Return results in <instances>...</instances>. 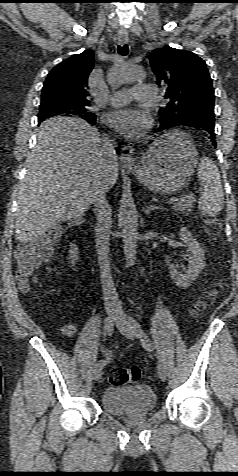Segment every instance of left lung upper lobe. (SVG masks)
<instances>
[{
	"mask_svg": "<svg viewBox=\"0 0 238 476\" xmlns=\"http://www.w3.org/2000/svg\"><path fill=\"white\" fill-rule=\"evenodd\" d=\"M157 83L167 86L166 107L159 110L161 124L209 118L214 120V90L206 63L196 54L171 47L150 54Z\"/></svg>",
	"mask_w": 238,
	"mask_h": 476,
	"instance_id": "left-lung-upper-lobe-1",
	"label": "left lung upper lobe"
}]
</instances>
